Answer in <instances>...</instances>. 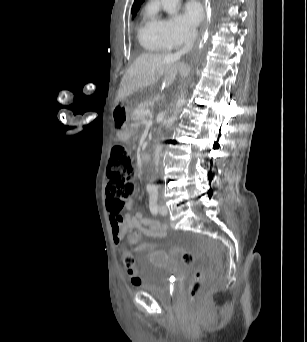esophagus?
I'll list each match as a JSON object with an SVG mask.
<instances>
[{
    "instance_id": "obj_1",
    "label": "esophagus",
    "mask_w": 307,
    "mask_h": 342,
    "mask_svg": "<svg viewBox=\"0 0 307 342\" xmlns=\"http://www.w3.org/2000/svg\"><path fill=\"white\" fill-rule=\"evenodd\" d=\"M204 9L206 10V6H204ZM206 20H207V18L203 21V26L205 27V25H206Z\"/></svg>"
}]
</instances>
